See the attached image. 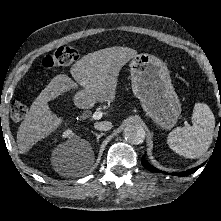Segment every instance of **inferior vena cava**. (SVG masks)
Returning a JSON list of instances; mask_svg holds the SVG:
<instances>
[{
	"instance_id": "inferior-vena-cava-1",
	"label": "inferior vena cava",
	"mask_w": 221,
	"mask_h": 221,
	"mask_svg": "<svg viewBox=\"0 0 221 221\" xmlns=\"http://www.w3.org/2000/svg\"><path fill=\"white\" fill-rule=\"evenodd\" d=\"M94 128L100 131H108L112 128V123L110 121L96 122Z\"/></svg>"
}]
</instances>
